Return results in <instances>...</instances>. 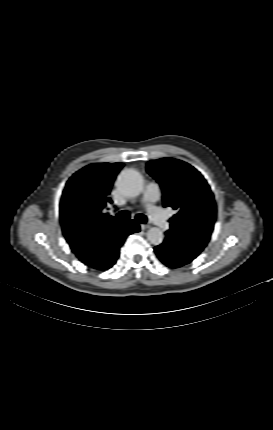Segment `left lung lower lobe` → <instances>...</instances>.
<instances>
[{
	"label": "left lung lower lobe",
	"mask_w": 273,
	"mask_h": 430,
	"mask_svg": "<svg viewBox=\"0 0 273 430\" xmlns=\"http://www.w3.org/2000/svg\"><path fill=\"white\" fill-rule=\"evenodd\" d=\"M158 258L168 267L178 268L190 263L197 256L181 251L174 243V238L166 232L165 240L154 248Z\"/></svg>",
	"instance_id": "left-lung-lower-lobe-1"
}]
</instances>
